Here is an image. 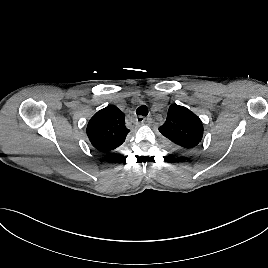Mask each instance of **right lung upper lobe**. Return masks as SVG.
I'll use <instances>...</instances> for the list:
<instances>
[{"instance_id":"right-lung-upper-lobe-1","label":"right lung upper lobe","mask_w":268,"mask_h":268,"mask_svg":"<svg viewBox=\"0 0 268 268\" xmlns=\"http://www.w3.org/2000/svg\"><path fill=\"white\" fill-rule=\"evenodd\" d=\"M86 133L94 148L108 153L125 141L129 129L124 113L116 106L108 105L90 119Z\"/></svg>"}]
</instances>
